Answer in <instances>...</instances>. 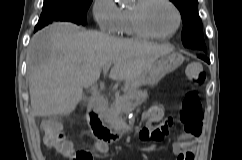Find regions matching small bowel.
I'll list each match as a JSON object with an SVG mask.
<instances>
[{
  "label": "small bowel",
  "mask_w": 242,
  "mask_h": 160,
  "mask_svg": "<svg viewBox=\"0 0 242 160\" xmlns=\"http://www.w3.org/2000/svg\"><path fill=\"white\" fill-rule=\"evenodd\" d=\"M161 125L162 121L161 118L158 116L156 119L152 120L146 128L141 129L140 138L144 141L151 139L150 135L146 132L147 130L150 133L158 130L164 134V129ZM200 134L201 130L197 135L185 133L180 140L173 142L172 150L176 155V160H195L196 143ZM68 143L69 147H67L66 150L68 151L70 157H72L75 153V150L72 144L70 142ZM98 148L103 149L104 147L102 145H99Z\"/></svg>",
  "instance_id": "small-bowel-1"
}]
</instances>
